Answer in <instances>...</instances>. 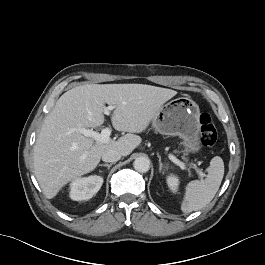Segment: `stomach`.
<instances>
[{
	"instance_id": "stomach-1",
	"label": "stomach",
	"mask_w": 265,
	"mask_h": 265,
	"mask_svg": "<svg viewBox=\"0 0 265 265\" xmlns=\"http://www.w3.org/2000/svg\"><path fill=\"white\" fill-rule=\"evenodd\" d=\"M152 125L163 135L179 136L189 152L196 153L201 149L199 106L187 97H179L163 105Z\"/></svg>"
}]
</instances>
